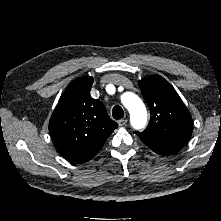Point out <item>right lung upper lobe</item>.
<instances>
[{
	"label": "right lung upper lobe",
	"instance_id": "obj_1",
	"mask_svg": "<svg viewBox=\"0 0 221 221\" xmlns=\"http://www.w3.org/2000/svg\"><path fill=\"white\" fill-rule=\"evenodd\" d=\"M92 83L91 77L70 83L49 122L56 150L73 162L84 163L95 157L118 127L108 116L103 103L90 96Z\"/></svg>",
	"mask_w": 221,
	"mask_h": 221
}]
</instances>
